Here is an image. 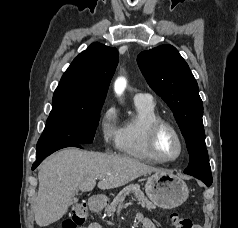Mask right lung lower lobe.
Masks as SVG:
<instances>
[{"label": "right lung lower lobe", "instance_id": "right-lung-lower-lobe-1", "mask_svg": "<svg viewBox=\"0 0 238 228\" xmlns=\"http://www.w3.org/2000/svg\"><path fill=\"white\" fill-rule=\"evenodd\" d=\"M65 147H78L82 148L80 144H60V145H53V146H40L37 147L36 149V161L34 162L32 166V170H34L42 161L45 157L48 155L52 154L53 152L65 148Z\"/></svg>", "mask_w": 238, "mask_h": 228}]
</instances>
